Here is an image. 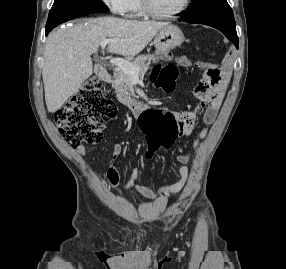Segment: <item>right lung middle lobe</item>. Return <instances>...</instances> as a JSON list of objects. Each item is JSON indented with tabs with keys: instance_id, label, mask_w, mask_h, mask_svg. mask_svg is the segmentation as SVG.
I'll return each instance as SVG.
<instances>
[{
	"instance_id": "obj_1",
	"label": "right lung middle lobe",
	"mask_w": 286,
	"mask_h": 269,
	"mask_svg": "<svg viewBox=\"0 0 286 269\" xmlns=\"http://www.w3.org/2000/svg\"><path fill=\"white\" fill-rule=\"evenodd\" d=\"M101 0H54L50 9L46 29L90 13L107 11Z\"/></svg>"
}]
</instances>
